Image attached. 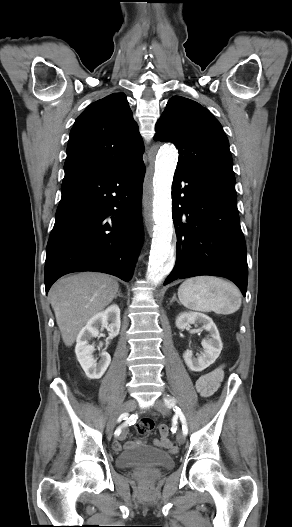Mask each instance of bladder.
Returning a JSON list of instances; mask_svg holds the SVG:
<instances>
[{"instance_id":"obj_1","label":"bladder","mask_w":292,"mask_h":527,"mask_svg":"<svg viewBox=\"0 0 292 527\" xmlns=\"http://www.w3.org/2000/svg\"><path fill=\"white\" fill-rule=\"evenodd\" d=\"M173 463L172 456L166 451L147 446L130 448L117 457V466L121 469L137 466L170 468Z\"/></svg>"}]
</instances>
